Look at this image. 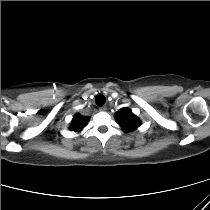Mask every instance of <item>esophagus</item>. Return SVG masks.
<instances>
[{"mask_svg": "<svg viewBox=\"0 0 210 210\" xmlns=\"http://www.w3.org/2000/svg\"><path fill=\"white\" fill-rule=\"evenodd\" d=\"M99 110H100V111H106V110H107V107H106V106H101V107L99 108Z\"/></svg>", "mask_w": 210, "mask_h": 210, "instance_id": "34e87169", "label": "esophagus"}]
</instances>
